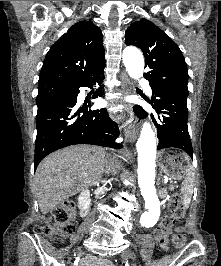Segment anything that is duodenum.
Listing matches in <instances>:
<instances>
[{
	"mask_svg": "<svg viewBox=\"0 0 221 266\" xmlns=\"http://www.w3.org/2000/svg\"><path fill=\"white\" fill-rule=\"evenodd\" d=\"M88 213H89V208L86 205V207L84 208V210L82 211L81 214H82V216H86Z\"/></svg>",
	"mask_w": 221,
	"mask_h": 266,
	"instance_id": "410a0bca",
	"label": "duodenum"
}]
</instances>
